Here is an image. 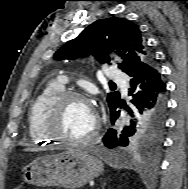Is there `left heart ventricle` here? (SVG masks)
<instances>
[{"label": "left heart ventricle", "instance_id": "obj_1", "mask_svg": "<svg viewBox=\"0 0 188 189\" xmlns=\"http://www.w3.org/2000/svg\"><path fill=\"white\" fill-rule=\"evenodd\" d=\"M95 120V114L89 104L72 101L63 110L59 130L67 137L82 138L93 129Z\"/></svg>", "mask_w": 188, "mask_h": 189}]
</instances>
